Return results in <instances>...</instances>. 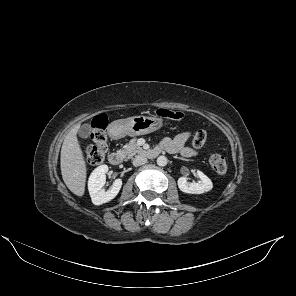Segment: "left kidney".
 Returning a JSON list of instances; mask_svg holds the SVG:
<instances>
[{
    "label": "left kidney",
    "instance_id": "obj_1",
    "mask_svg": "<svg viewBox=\"0 0 296 296\" xmlns=\"http://www.w3.org/2000/svg\"><path fill=\"white\" fill-rule=\"evenodd\" d=\"M199 182H188L186 177H180L177 181L179 189L188 194H202L212 190L213 183L203 172L197 171Z\"/></svg>",
    "mask_w": 296,
    "mask_h": 296
}]
</instances>
